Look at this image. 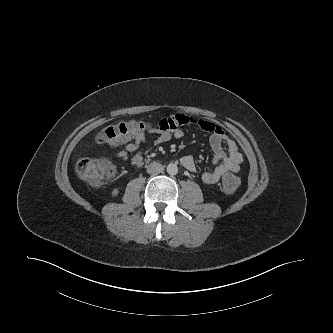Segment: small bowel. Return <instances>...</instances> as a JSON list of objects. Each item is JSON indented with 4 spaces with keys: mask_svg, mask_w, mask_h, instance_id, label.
I'll return each instance as SVG.
<instances>
[{
    "mask_svg": "<svg viewBox=\"0 0 333 333\" xmlns=\"http://www.w3.org/2000/svg\"><path fill=\"white\" fill-rule=\"evenodd\" d=\"M196 123L200 129L210 134L209 143L213 151V170L202 174V181L206 184H215L220 178L228 173H237L240 170L243 157L238 150L237 144L228 138L222 128L215 123L206 120L194 121L191 117L183 114H175L162 118L157 129H151V138L145 134L134 138L131 142L123 145L117 152V156L123 161H128L133 166H140L143 162L144 152L138 151L142 144L148 147L161 145L172 139L183 136L181 126ZM181 164L189 171L195 170V161L191 155L181 158Z\"/></svg>",
    "mask_w": 333,
    "mask_h": 333,
    "instance_id": "small-bowel-1",
    "label": "small bowel"
}]
</instances>
